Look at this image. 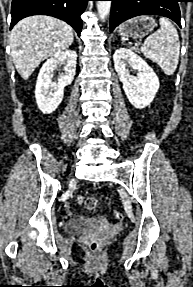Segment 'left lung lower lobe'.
<instances>
[{
  "instance_id": "1",
  "label": "left lung lower lobe",
  "mask_w": 193,
  "mask_h": 287,
  "mask_svg": "<svg viewBox=\"0 0 193 287\" xmlns=\"http://www.w3.org/2000/svg\"><path fill=\"white\" fill-rule=\"evenodd\" d=\"M110 31L120 23L139 15H160L175 21L180 27V0H110Z\"/></svg>"
}]
</instances>
